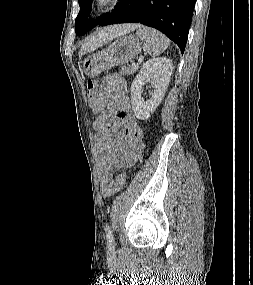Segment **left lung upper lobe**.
I'll list each match as a JSON object with an SVG mask.
<instances>
[{
	"label": "left lung upper lobe",
	"instance_id": "obj_1",
	"mask_svg": "<svg viewBox=\"0 0 253 285\" xmlns=\"http://www.w3.org/2000/svg\"><path fill=\"white\" fill-rule=\"evenodd\" d=\"M80 11L78 16L75 20V32L76 35H83L87 33L89 30H91L95 25L98 24V22L88 23L87 21V15L90 13L91 9V2L92 0H78ZM108 13L101 16V18H106Z\"/></svg>",
	"mask_w": 253,
	"mask_h": 285
}]
</instances>
